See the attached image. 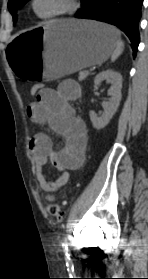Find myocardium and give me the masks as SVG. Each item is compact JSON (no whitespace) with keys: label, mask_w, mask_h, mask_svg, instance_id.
Masks as SVG:
<instances>
[{"label":"myocardium","mask_w":148,"mask_h":279,"mask_svg":"<svg viewBox=\"0 0 148 279\" xmlns=\"http://www.w3.org/2000/svg\"><path fill=\"white\" fill-rule=\"evenodd\" d=\"M37 0H31L30 9L32 13L41 20H56L66 17L76 11L78 7L77 0H65V6L47 14H40L36 9Z\"/></svg>","instance_id":"obj_1"}]
</instances>
